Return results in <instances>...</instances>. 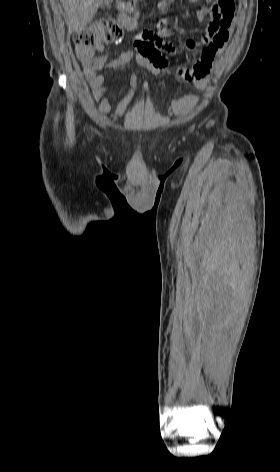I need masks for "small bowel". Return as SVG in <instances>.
I'll return each mask as SVG.
<instances>
[{
    "mask_svg": "<svg viewBox=\"0 0 280 472\" xmlns=\"http://www.w3.org/2000/svg\"><path fill=\"white\" fill-rule=\"evenodd\" d=\"M191 3L198 0H187ZM211 2L212 0H206ZM200 22H204L208 15V9L201 7L196 12ZM228 25L216 26L212 22L207 25L205 33L199 41L187 40L184 51L188 55L198 54L190 68L180 66L178 74L181 78L193 82L197 90H205L208 85V75L216 54L223 48L229 38ZM168 30L165 23H159L157 30L146 29L140 32L135 41V50L122 53L115 59L109 60L107 56H96L93 48L86 46H76V54L82 63L85 78L90 87L94 99L99 103V108L103 113H110L111 105L107 88L105 86V76L98 72L103 69L121 68L132 61L148 70L153 75H159L165 71L167 60L164 52H172L174 47L165 41ZM99 51L103 47L98 48ZM138 76L133 73L129 77V89L126 96L117 105L115 114L117 117L123 116L129 104L134 90L137 86ZM199 101L197 95H186L175 99L171 103V111L175 116H181L190 111Z\"/></svg>",
    "mask_w": 280,
    "mask_h": 472,
    "instance_id": "c3829d8e",
    "label": "small bowel"
}]
</instances>
